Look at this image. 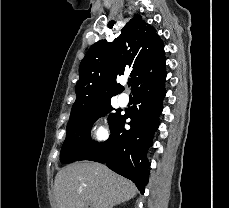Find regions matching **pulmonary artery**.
Segmentation results:
<instances>
[{
  "instance_id": "e3ab8cb5",
  "label": "pulmonary artery",
  "mask_w": 229,
  "mask_h": 208,
  "mask_svg": "<svg viewBox=\"0 0 229 208\" xmlns=\"http://www.w3.org/2000/svg\"><path fill=\"white\" fill-rule=\"evenodd\" d=\"M128 102H129V95L127 93H122L119 96V103H120V105L125 106V105L128 104Z\"/></svg>"
}]
</instances>
